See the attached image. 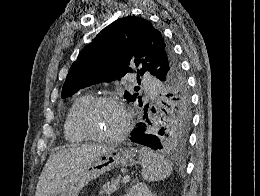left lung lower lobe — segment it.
Instances as JSON below:
<instances>
[{"mask_svg":"<svg viewBox=\"0 0 260 196\" xmlns=\"http://www.w3.org/2000/svg\"><path fill=\"white\" fill-rule=\"evenodd\" d=\"M137 125L138 127L131 132V141L148 146L154 150L159 149V138L155 135L146 133L144 124L139 123Z\"/></svg>","mask_w":260,"mask_h":196,"instance_id":"0a47b994","label":"left lung lower lobe"}]
</instances>
